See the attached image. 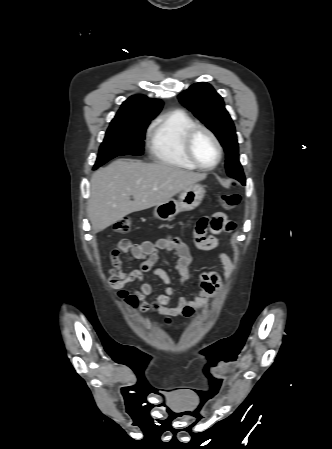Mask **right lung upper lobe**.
Here are the masks:
<instances>
[{"instance_id":"right-lung-upper-lobe-1","label":"right lung upper lobe","mask_w":332,"mask_h":449,"mask_svg":"<svg viewBox=\"0 0 332 449\" xmlns=\"http://www.w3.org/2000/svg\"><path fill=\"white\" fill-rule=\"evenodd\" d=\"M162 105V101L146 96H132L122 104L114 119L134 117L153 119L160 112Z\"/></svg>"}]
</instances>
